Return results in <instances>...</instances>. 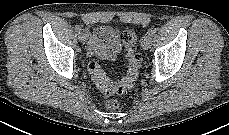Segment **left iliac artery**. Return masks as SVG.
Listing matches in <instances>:
<instances>
[{
  "label": "left iliac artery",
  "instance_id": "1",
  "mask_svg": "<svg viewBox=\"0 0 229 135\" xmlns=\"http://www.w3.org/2000/svg\"><path fill=\"white\" fill-rule=\"evenodd\" d=\"M154 34H155V31L154 30H151V31L148 32V35L149 36H154Z\"/></svg>",
  "mask_w": 229,
  "mask_h": 135
}]
</instances>
